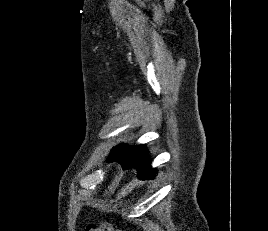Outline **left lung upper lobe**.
<instances>
[{
	"label": "left lung upper lobe",
	"instance_id": "1",
	"mask_svg": "<svg viewBox=\"0 0 268 231\" xmlns=\"http://www.w3.org/2000/svg\"><path fill=\"white\" fill-rule=\"evenodd\" d=\"M144 147V145H139L138 147L134 148L135 150H140ZM129 147L125 146V145H119L117 147L114 148V151L115 152H118V151H122V150H126L128 149Z\"/></svg>",
	"mask_w": 268,
	"mask_h": 231
}]
</instances>
